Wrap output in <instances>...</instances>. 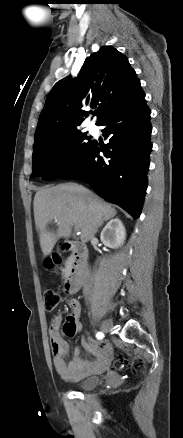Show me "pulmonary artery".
Instances as JSON below:
<instances>
[{
	"instance_id": "obj_1",
	"label": "pulmonary artery",
	"mask_w": 183,
	"mask_h": 438,
	"mask_svg": "<svg viewBox=\"0 0 183 438\" xmlns=\"http://www.w3.org/2000/svg\"><path fill=\"white\" fill-rule=\"evenodd\" d=\"M89 130H90L91 132H95V131H96V129H95V127H94L93 125L89 126Z\"/></svg>"
}]
</instances>
